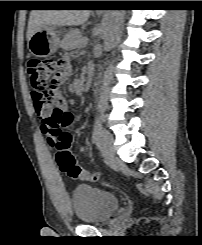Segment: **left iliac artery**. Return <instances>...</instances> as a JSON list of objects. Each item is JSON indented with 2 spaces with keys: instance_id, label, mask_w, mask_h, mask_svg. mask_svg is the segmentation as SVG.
<instances>
[{
  "instance_id": "left-iliac-artery-1",
  "label": "left iliac artery",
  "mask_w": 202,
  "mask_h": 245,
  "mask_svg": "<svg viewBox=\"0 0 202 245\" xmlns=\"http://www.w3.org/2000/svg\"><path fill=\"white\" fill-rule=\"evenodd\" d=\"M101 129H102L101 117L98 115L95 119V124H94V129H93V136H92L93 143H97Z\"/></svg>"
}]
</instances>
